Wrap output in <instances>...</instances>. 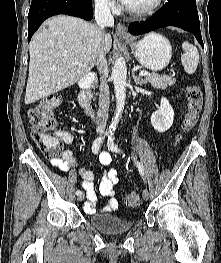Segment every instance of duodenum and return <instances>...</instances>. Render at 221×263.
Returning <instances> with one entry per match:
<instances>
[{
  "instance_id": "1",
  "label": "duodenum",
  "mask_w": 221,
  "mask_h": 263,
  "mask_svg": "<svg viewBox=\"0 0 221 263\" xmlns=\"http://www.w3.org/2000/svg\"><path fill=\"white\" fill-rule=\"evenodd\" d=\"M97 82L94 74H87L80 80V92L78 94L79 105L87 112L92 113L91 91Z\"/></svg>"
}]
</instances>
